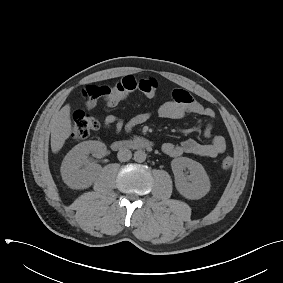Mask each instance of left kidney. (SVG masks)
<instances>
[{"label": "left kidney", "mask_w": 283, "mask_h": 283, "mask_svg": "<svg viewBox=\"0 0 283 283\" xmlns=\"http://www.w3.org/2000/svg\"><path fill=\"white\" fill-rule=\"evenodd\" d=\"M178 192L187 199H200L210 190V180L203 166L187 157L175 158L171 161ZM188 169L190 174L185 175Z\"/></svg>", "instance_id": "left-kidney-1"}]
</instances>
